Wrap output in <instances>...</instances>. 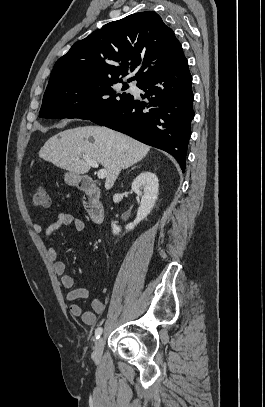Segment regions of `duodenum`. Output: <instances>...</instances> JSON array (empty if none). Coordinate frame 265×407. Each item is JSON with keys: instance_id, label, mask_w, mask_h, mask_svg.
Instances as JSON below:
<instances>
[{"instance_id": "obj_1", "label": "duodenum", "mask_w": 265, "mask_h": 407, "mask_svg": "<svg viewBox=\"0 0 265 407\" xmlns=\"http://www.w3.org/2000/svg\"><path fill=\"white\" fill-rule=\"evenodd\" d=\"M80 188L84 191V205L94 223H102L105 217L104 206L100 200V190L94 180L83 178Z\"/></svg>"}]
</instances>
